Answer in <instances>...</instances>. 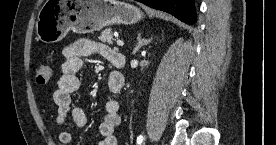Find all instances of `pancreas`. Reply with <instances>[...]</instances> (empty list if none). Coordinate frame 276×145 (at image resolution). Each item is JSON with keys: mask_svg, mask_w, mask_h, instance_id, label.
I'll use <instances>...</instances> for the list:
<instances>
[{"mask_svg": "<svg viewBox=\"0 0 276 145\" xmlns=\"http://www.w3.org/2000/svg\"><path fill=\"white\" fill-rule=\"evenodd\" d=\"M99 40H101L104 43H108L109 45H113V34L111 31V28H107L104 31L101 32L99 36Z\"/></svg>", "mask_w": 276, "mask_h": 145, "instance_id": "1", "label": "pancreas"}]
</instances>
